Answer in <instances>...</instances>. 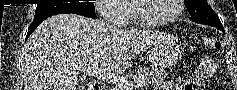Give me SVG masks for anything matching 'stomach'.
<instances>
[{
  "label": "stomach",
  "mask_w": 237,
  "mask_h": 90,
  "mask_svg": "<svg viewBox=\"0 0 237 90\" xmlns=\"http://www.w3.org/2000/svg\"><path fill=\"white\" fill-rule=\"evenodd\" d=\"M148 56L154 65L170 67L178 61L181 51L170 43L156 42L148 48Z\"/></svg>",
  "instance_id": "1"
}]
</instances>
